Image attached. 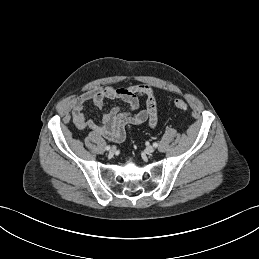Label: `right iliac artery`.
Returning <instances> with one entry per match:
<instances>
[{
	"label": "right iliac artery",
	"mask_w": 259,
	"mask_h": 259,
	"mask_svg": "<svg viewBox=\"0 0 259 259\" xmlns=\"http://www.w3.org/2000/svg\"><path fill=\"white\" fill-rule=\"evenodd\" d=\"M110 148H111L110 145H107V146L105 147L106 150H110Z\"/></svg>",
	"instance_id": "1"
}]
</instances>
